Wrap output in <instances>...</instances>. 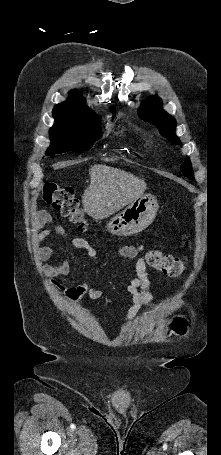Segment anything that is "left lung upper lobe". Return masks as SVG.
I'll return each instance as SVG.
<instances>
[{
	"instance_id": "left-lung-upper-lobe-1",
	"label": "left lung upper lobe",
	"mask_w": 221,
	"mask_h": 455,
	"mask_svg": "<svg viewBox=\"0 0 221 455\" xmlns=\"http://www.w3.org/2000/svg\"><path fill=\"white\" fill-rule=\"evenodd\" d=\"M139 117L156 125L160 133L169 141L176 144L180 143L174 133L176 121L162 109V101L158 96H151L141 104ZM180 169L185 176L193 179V171L189 159L185 160Z\"/></svg>"
}]
</instances>
